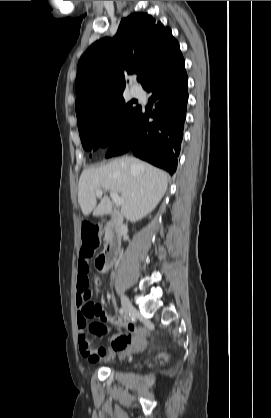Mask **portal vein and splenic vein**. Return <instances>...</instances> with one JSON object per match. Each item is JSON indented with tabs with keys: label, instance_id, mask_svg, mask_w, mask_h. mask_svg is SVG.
<instances>
[{
	"label": "portal vein and splenic vein",
	"instance_id": "1",
	"mask_svg": "<svg viewBox=\"0 0 271 418\" xmlns=\"http://www.w3.org/2000/svg\"><path fill=\"white\" fill-rule=\"evenodd\" d=\"M102 193V190L99 189L96 191V196L100 197L102 196ZM110 197L116 205H122L124 203V199L120 197L117 193L110 192Z\"/></svg>",
	"mask_w": 271,
	"mask_h": 418
}]
</instances>
